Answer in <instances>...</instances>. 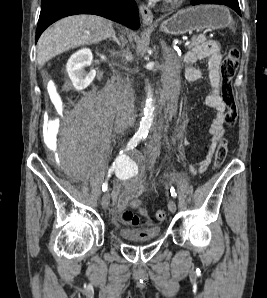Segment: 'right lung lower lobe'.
Listing matches in <instances>:
<instances>
[{"instance_id": "98d812e1", "label": "right lung lower lobe", "mask_w": 267, "mask_h": 298, "mask_svg": "<svg viewBox=\"0 0 267 298\" xmlns=\"http://www.w3.org/2000/svg\"><path fill=\"white\" fill-rule=\"evenodd\" d=\"M75 14H94L131 29L140 27L139 12L134 0H42L36 42L53 22Z\"/></svg>"}]
</instances>
